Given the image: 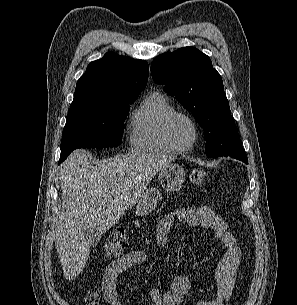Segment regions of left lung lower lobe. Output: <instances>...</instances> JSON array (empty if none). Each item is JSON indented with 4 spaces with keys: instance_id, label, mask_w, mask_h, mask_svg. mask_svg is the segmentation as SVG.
<instances>
[{
    "instance_id": "obj_1",
    "label": "left lung lower lobe",
    "mask_w": 297,
    "mask_h": 305,
    "mask_svg": "<svg viewBox=\"0 0 297 305\" xmlns=\"http://www.w3.org/2000/svg\"><path fill=\"white\" fill-rule=\"evenodd\" d=\"M242 160L247 163V156L242 157Z\"/></svg>"
}]
</instances>
